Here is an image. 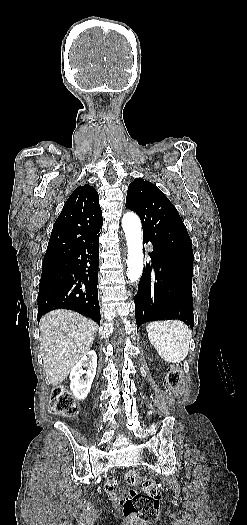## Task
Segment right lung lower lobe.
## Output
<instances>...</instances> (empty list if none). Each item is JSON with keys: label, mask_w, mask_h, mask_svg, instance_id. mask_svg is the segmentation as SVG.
<instances>
[{"label": "right lung lower lobe", "mask_w": 247, "mask_h": 525, "mask_svg": "<svg viewBox=\"0 0 247 525\" xmlns=\"http://www.w3.org/2000/svg\"><path fill=\"white\" fill-rule=\"evenodd\" d=\"M99 236L60 256L56 262L43 263L37 299L38 321L46 312L63 308L84 314L100 324Z\"/></svg>", "instance_id": "obj_1"}]
</instances>
